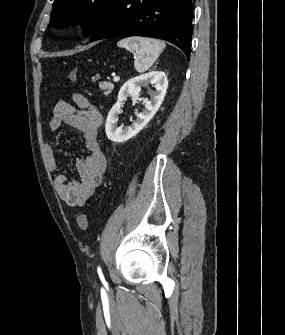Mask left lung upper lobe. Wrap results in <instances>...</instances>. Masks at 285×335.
I'll list each match as a JSON object with an SVG mask.
<instances>
[{"mask_svg":"<svg viewBox=\"0 0 285 335\" xmlns=\"http://www.w3.org/2000/svg\"><path fill=\"white\" fill-rule=\"evenodd\" d=\"M115 0H54L50 26L64 28L79 23L86 33L99 22Z\"/></svg>","mask_w":285,"mask_h":335,"instance_id":"left-lung-upper-lobe-1","label":"left lung upper lobe"}]
</instances>
